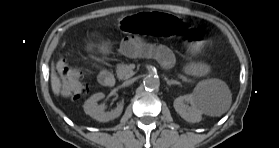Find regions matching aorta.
<instances>
[{"instance_id": "1", "label": "aorta", "mask_w": 279, "mask_h": 148, "mask_svg": "<svg viewBox=\"0 0 279 148\" xmlns=\"http://www.w3.org/2000/svg\"><path fill=\"white\" fill-rule=\"evenodd\" d=\"M144 86L148 90H158L160 80L157 76L150 75L144 79Z\"/></svg>"}]
</instances>
